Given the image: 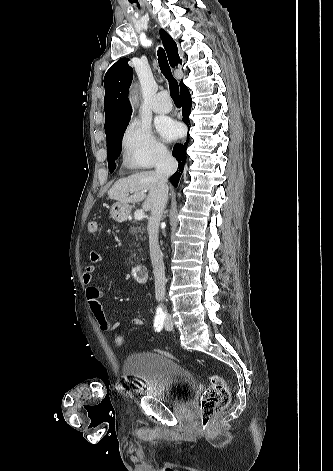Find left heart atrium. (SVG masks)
<instances>
[{
	"label": "left heart atrium",
	"instance_id": "1",
	"mask_svg": "<svg viewBox=\"0 0 333 471\" xmlns=\"http://www.w3.org/2000/svg\"><path fill=\"white\" fill-rule=\"evenodd\" d=\"M158 130L162 137L167 140L176 138L180 132L179 125L170 119L162 120L158 125Z\"/></svg>",
	"mask_w": 333,
	"mask_h": 471
}]
</instances>
